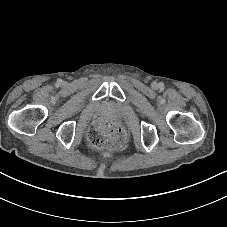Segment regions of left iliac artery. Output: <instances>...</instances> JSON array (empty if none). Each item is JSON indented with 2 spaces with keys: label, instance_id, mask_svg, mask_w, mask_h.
I'll use <instances>...</instances> for the list:
<instances>
[{
  "label": "left iliac artery",
  "instance_id": "1",
  "mask_svg": "<svg viewBox=\"0 0 227 227\" xmlns=\"http://www.w3.org/2000/svg\"><path fill=\"white\" fill-rule=\"evenodd\" d=\"M158 87H159L160 90H163L164 89V83L163 82H160L158 84Z\"/></svg>",
  "mask_w": 227,
  "mask_h": 227
}]
</instances>
